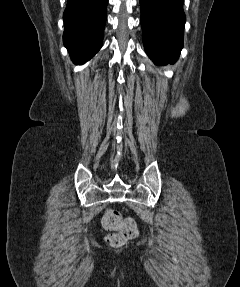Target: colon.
<instances>
[{
    "instance_id": "colon-1",
    "label": "colon",
    "mask_w": 240,
    "mask_h": 287,
    "mask_svg": "<svg viewBox=\"0 0 240 287\" xmlns=\"http://www.w3.org/2000/svg\"><path fill=\"white\" fill-rule=\"evenodd\" d=\"M104 228L111 233L107 236V242L113 247H119L128 240L137 236L136 224L131 218H123L115 209H109L102 218Z\"/></svg>"
}]
</instances>
